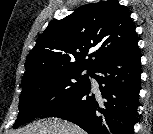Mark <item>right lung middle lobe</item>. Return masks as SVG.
<instances>
[{
	"label": "right lung middle lobe",
	"instance_id": "obj_1",
	"mask_svg": "<svg viewBox=\"0 0 153 134\" xmlns=\"http://www.w3.org/2000/svg\"><path fill=\"white\" fill-rule=\"evenodd\" d=\"M91 75V69L68 66L51 69L22 80L19 114L13 128L64 102L86 86Z\"/></svg>",
	"mask_w": 153,
	"mask_h": 134
}]
</instances>
